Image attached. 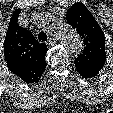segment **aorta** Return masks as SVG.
<instances>
[{
    "label": "aorta",
    "mask_w": 113,
    "mask_h": 113,
    "mask_svg": "<svg viewBox=\"0 0 113 113\" xmlns=\"http://www.w3.org/2000/svg\"><path fill=\"white\" fill-rule=\"evenodd\" d=\"M45 23L48 29L61 41L69 52L79 54L82 51L83 42L70 25L52 16H47Z\"/></svg>",
    "instance_id": "762f6f07"
}]
</instances>
